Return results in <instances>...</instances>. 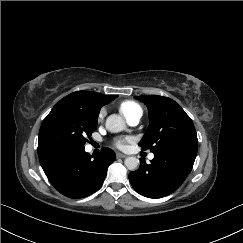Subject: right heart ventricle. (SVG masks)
<instances>
[{"label": "right heart ventricle", "instance_id": "obj_1", "mask_svg": "<svg viewBox=\"0 0 243 243\" xmlns=\"http://www.w3.org/2000/svg\"><path fill=\"white\" fill-rule=\"evenodd\" d=\"M119 110L126 120L138 112H142L140 105L134 101H124L120 104Z\"/></svg>", "mask_w": 243, "mask_h": 243}]
</instances>
